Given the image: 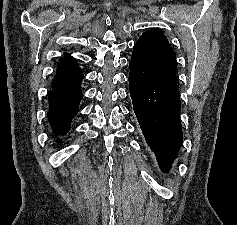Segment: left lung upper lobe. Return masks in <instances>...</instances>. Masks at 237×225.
<instances>
[{"label":"left lung upper lobe","instance_id":"left-lung-upper-lobe-1","mask_svg":"<svg viewBox=\"0 0 237 225\" xmlns=\"http://www.w3.org/2000/svg\"><path fill=\"white\" fill-rule=\"evenodd\" d=\"M176 56L166 36L157 30L142 34L133 47L130 73L150 86H175Z\"/></svg>","mask_w":237,"mask_h":225}]
</instances>
